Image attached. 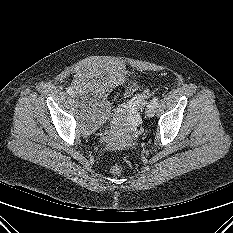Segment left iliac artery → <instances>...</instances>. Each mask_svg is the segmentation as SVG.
<instances>
[{"instance_id":"obj_1","label":"left iliac artery","mask_w":233,"mask_h":233,"mask_svg":"<svg viewBox=\"0 0 233 233\" xmlns=\"http://www.w3.org/2000/svg\"><path fill=\"white\" fill-rule=\"evenodd\" d=\"M158 101H159V97L158 96H156V97L153 98L152 104H153L154 107H156V105L158 104Z\"/></svg>"}]
</instances>
